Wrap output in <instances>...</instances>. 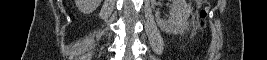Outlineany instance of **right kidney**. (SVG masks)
Masks as SVG:
<instances>
[{
  "label": "right kidney",
  "mask_w": 267,
  "mask_h": 60,
  "mask_svg": "<svg viewBox=\"0 0 267 60\" xmlns=\"http://www.w3.org/2000/svg\"><path fill=\"white\" fill-rule=\"evenodd\" d=\"M102 2V0H75L76 7L83 14L92 13Z\"/></svg>",
  "instance_id": "ca27d5eb"
}]
</instances>
